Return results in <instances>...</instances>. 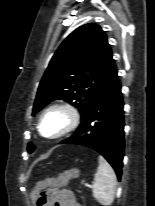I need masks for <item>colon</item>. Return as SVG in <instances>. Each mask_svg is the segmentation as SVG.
I'll list each match as a JSON object with an SVG mask.
<instances>
[{
    "instance_id": "5ec220e1",
    "label": "colon",
    "mask_w": 155,
    "mask_h": 206,
    "mask_svg": "<svg viewBox=\"0 0 155 206\" xmlns=\"http://www.w3.org/2000/svg\"><path fill=\"white\" fill-rule=\"evenodd\" d=\"M66 181V176L64 174L59 175L57 178L52 179L48 178L42 181L43 187H47L48 189H54L62 187L63 183ZM46 201V193L38 192L36 194V202L37 206H42Z\"/></svg>"
}]
</instances>
